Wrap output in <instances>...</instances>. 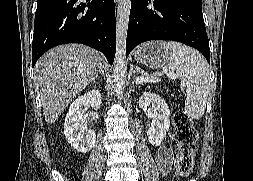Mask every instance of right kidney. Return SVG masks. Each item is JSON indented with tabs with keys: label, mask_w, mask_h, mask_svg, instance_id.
I'll return each mask as SVG.
<instances>
[{
	"label": "right kidney",
	"mask_w": 253,
	"mask_h": 181,
	"mask_svg": "<svg viewBox=\"0 0 253 181\" xmlns=\"http://www.w3.org/2000/svg\"><path fill=\"white\" fill-rule=\"evenodd\" d=\"M95 110L101 106V94L98 90H91L76 98L69 107L64 122V135L68 143L80 153L89 152L95 145L96 134L87 127L84 115L87 107Z\"/></svg>",
	"instance_id": "obj_1"
}]
</instances>
